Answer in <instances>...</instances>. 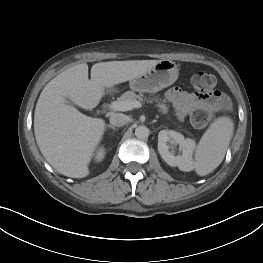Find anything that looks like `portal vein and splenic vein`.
<instances>
[{
	"instance_id": "18ae733b",
	"label": "portal vein and splenic vein",
	"mask_w": 263,
	"mask_h": 263,
	"mask_svg": "<svg viewBox=\"0 0 263 263\" xmlns=\"http://www.w3.org/2000/svg\"><path fill=\"white\" fill-rule=\"evenodd\" d=\"M142 106L139 101H113L109 108L113 111H128Z\"/></svg>"
}]
</instances>
